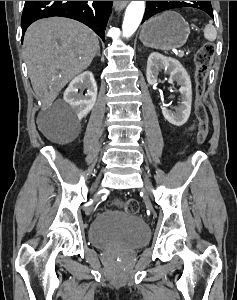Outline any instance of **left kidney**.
Wrapping results in <instances>:
<instances>
[{
  "instance_id": "5707ae66",
  "label": "left kidney",
  "mask_w": 237,
  "mask_h": 300,
  "mask_svg": "<svg viewBox=\"0 0 237 300\" xmlns=\"http://www.w3.org/2000/svg\"><path fill=\"white\" fill-rule=\"evenodd\" d=\"M160 69H166L170 71L169 83L177 81L178 85H181L179 93L181 95L182 103L176 111H170L166 107H162L163 117L176 125L181 127L187 123L192 105V85L191 79L181 63L177 59L172 57H164L160 53H151L147 61L146 77L149 85H156Z\"/></svg>"
}]
</instances>
